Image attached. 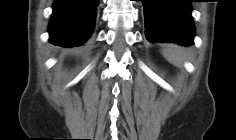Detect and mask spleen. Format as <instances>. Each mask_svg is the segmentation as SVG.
Segmentation results:
<instances>
[{"label":"spleen","mask_w":236,"mask_h":140,"mask_svg":"<svg viewBox=\"0 0 236 140\" xmlns=\"http://www.w3.org/2000/svg\"><path fill=\"white\" fill-rule=\"evenodd\" d=\"M162 54L170 63L177 67H182L183 63L188 58L187 51L183 47L175 44L165 45Z\"/></svg>","instance_id":"obj_1"}]
</instances>
